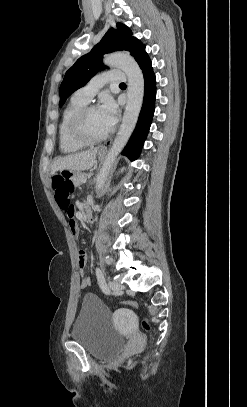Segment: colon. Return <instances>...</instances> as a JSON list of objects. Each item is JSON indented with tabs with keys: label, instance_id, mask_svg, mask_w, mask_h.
<instances>
[{
	"label": "colon",
	"instance_id": "1",
	"mask_svg": "<svg viewBox=\"0 0 247 407\" xmlns=\"http://www.w3.org/2000/svg\"><path fill=\"white\" fill-rule=\"evenodd\" d=\"M52 189L58 206L61 209H66L71 202V195L74 191L73 184L61 176H55L52 179ZM122 304L132 309L137 308V303L131 300L124 301ZM143 327L149 330V322L144 321Z\"/></svg>",
	"mask_w": 247,
	"mask_h": 407
}]
</instances>
